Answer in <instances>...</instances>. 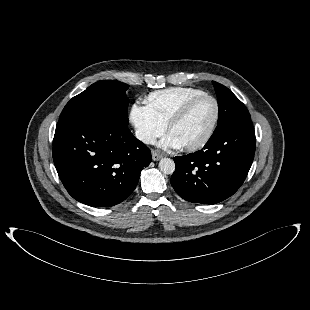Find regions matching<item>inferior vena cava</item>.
<instances>
[{
    "label": "inferior vena cava",
    "instance_id": "inferior-vena-cava-1",
    "mask_svg": "<svg viewBox=\"0 0 310 310\" xmlns=\"http://www.w3.org/2000/svg\"><path fill=\"white\" fill-rule=\"evenodd\" d=\"M136 137L146 144H155L156 137L153 134L147 133L141 129H137L135 132Z\"/></svg>",
    "mask_w": 310,
    "mask_h": 310
}]
</instances>
